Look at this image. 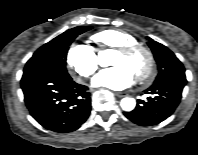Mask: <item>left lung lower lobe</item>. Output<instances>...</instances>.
I'll use <instances>...</instances> for the list:
<instances>
[{
	"label": "left lung lower lobe",
	"instance_id": "obj_1",
	"mask_svg": "<svg viewBox=\"0 0 198 155\" xmlns=\"http://www.w3.org/2000/svg\"><path fill=\"white\" fill-rule=\"evenodd\" d=\"M184 78H173L153 84L144 92L153 95L148 101H137L136 108L124 115L141 126L156 125L167 119L177 108L186 84Z\"/></svg>",
	"mask_w": 198,
	"mask_h": 155
}]
</instances>
